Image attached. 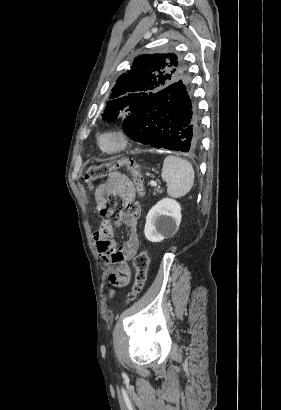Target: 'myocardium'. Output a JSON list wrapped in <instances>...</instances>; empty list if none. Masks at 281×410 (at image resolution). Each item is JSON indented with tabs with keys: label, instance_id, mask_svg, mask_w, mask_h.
<instances>
[{
	"label": "myocardium",
	"instance_id": "obj_1",
	"mask_svg": "<svg viewBox=\"0 0 281 410\" xmlns=\"http://www.w3.org/2000/svg\"><path fill=\"white\" fill-rule=\"evenodd\" d=\"M110 140L112 144L106 146L104 143ZM96 145L100 152L106 155H115L125 151L130 145V136L124 129L109 128L96 136Z\"/></svg>",
	"mask_w": 281,
	"mask_h": 410
}]
</instances>
